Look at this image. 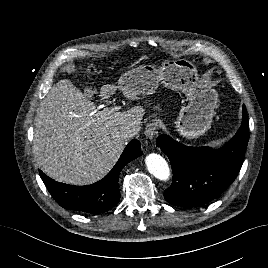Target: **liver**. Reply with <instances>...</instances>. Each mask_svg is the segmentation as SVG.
I'll return each mask as SVG.
<instances>
[{
    "mask_svg": "<svg viewBox=\"0 0 268 268\" xmlns=\"http://www.w3.org/2000/svg\"><path fill=\"white\" fill-rule=\"evenodd\" d=\"M114 91L115 86L105 85L100 96L108 99ZM95 108L67 79L56 83L41 101L35 117L33 154L46 175L72 185L97 182L115 165L127 141L114 139L112 133L140 128L145 114L139 105L123 112L114 108L106 116L98 115Z\"/></svg>",
    "mask_w": 268,
    "mask_h": 268,
    "instance_id": "6515ba94",
    "label": "liver"
}]
</instances>
